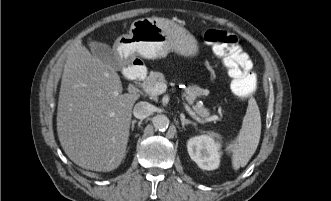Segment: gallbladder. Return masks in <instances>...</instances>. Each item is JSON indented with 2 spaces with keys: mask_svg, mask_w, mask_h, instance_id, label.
Here are the masks:
<instances>
[{
  "mask_svg": "<svg viewBox=\"0 0 331 201\" xmlns=\"http://www.w3.org/2000/svg\"><path fill=\"white\" fill-rule=\"evenodd\" d=\"M93 55L115 70H122L125 65L119 55L107 44L92 41L89 43Z\"/></svg>",
  "mask_w": 331,
  "mask_h": 201,
  "instance_id": "gallbladder-1",
  "label": "gallbladder"
}]
</instances>
